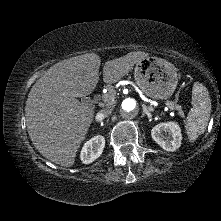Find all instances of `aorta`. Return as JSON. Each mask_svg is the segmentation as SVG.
I'll list each match as a JSON object with an SVG mask.
<instances>
[{"label": "aorta", "mask_w": 221, "mask_h": 221, "mask_svg": "<svg viewBox=\"0 0 221 221\" xmlns=\"http://www.w3.org/2000/svg\"><path fill=\"white\" fill-rule=\"evenodd\" d=\"M120 114L125 119H133L139 113V104L134 98H125L119 106Z\"/></svg>", "instance_id": "1"}]
</instances>
